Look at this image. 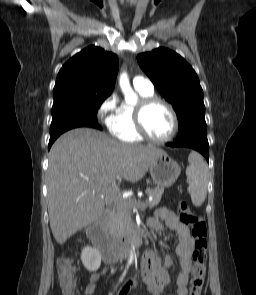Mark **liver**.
I'll return each mask as SVG.
<instances>
[{"label":"liver","instance_id":"1","mask_svg":"<svg viewBox=\"0 0 256 295\" xmlns=\"http://www.w3.org/2000/svg\"><path fill=\"white\" fill-rule=\"evenodd\" d=\"M164 151L152 145H129L88 128L60 136L49 152L48 212L58 244L103 214L102 195L117 178L137 182Z\"/></svg>","mask_w":256,"mask_h":295}]
</instances>
